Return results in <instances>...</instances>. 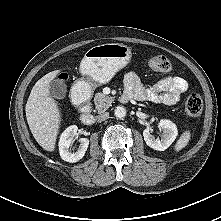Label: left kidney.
<instances>
[{"label": "left kidney", "instance_id": "1", "mask_svg": "<svg viewBox=\"0 0 221 221\" xmlns=\"http://www.w3.org/2000/svg\"><path fill=\"white\" fill-rule=\"evenodd\" d=\"M158 127L163 130V137L156 139L152 134V128L147 127L143 131V137L146 144L154 150H166L176 139L178 130L176 125L170 120H160Z\"/></svg>", "mask_w": 221, "mask_h": 221}]
</instances>
